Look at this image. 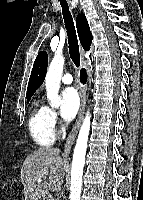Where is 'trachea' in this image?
Listing matches in <instances>:
<instances>
[{
    "label": "trachea",
    "instance_id": "trachea-1",
    "mask_svg": "<svg viewBox=\"0 0 143 200\" xmlns=\"http://www.w3.org/2000/svg\"><path fill=\"white\" fill-rule=\"evenodd\" d=\"M62 7L63 18L65 22V28L68 35V44H69V54L70 58L75 64L76 67L80 66V54H79V45L76 35V30L73 22L72 15L69 11L68 4L65 0H60Z\"/></svg>",
    "mask_w": 143,
    "mask_h": 200
}]
</instances>
